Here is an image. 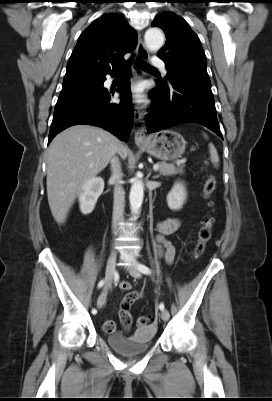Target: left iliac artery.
Returning <instances> with one entry per match:
<instances>
[{"instance_id":"obj_1","label":"left iliac artery","mask_w":272,"mask_h":401,"mask_svg":"<svg viewBox=\"0 0 272 401\" xmlns=\"http://www.w3.org/2000/svg\"><path fill=\"white\" fill-rule=\"evenodd\" d=\"M137 268H138V270H139L140 272H142L143 274H146V275H150V274H151L150 268L147 267V266H145V265H143V264H138V265H137ZM159 308H160V310H164V304L161 303V304L159 305Z\"/></svg>"}]
</instances>
